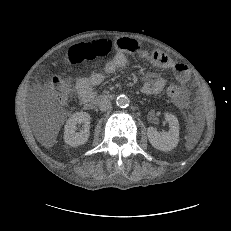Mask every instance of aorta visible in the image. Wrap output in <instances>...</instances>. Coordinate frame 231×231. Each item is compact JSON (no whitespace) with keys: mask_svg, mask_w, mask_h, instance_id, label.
<instances>
[{"mask_svg":"<svg viewBox=\"0 0 231 231\" xmlns=\"http://www.w3.org/2000/svg\"><path fill=\"white\" fill-rule=\"evenodd\" d=\"M130 103L129 98L126 95H119L116 99V104L120 108H126Z\"/></svg>","mask_w":231,"mask_h":231,"instance_id":"762f6f07","label":"aorta"}]
</instances>
